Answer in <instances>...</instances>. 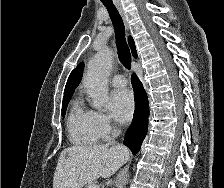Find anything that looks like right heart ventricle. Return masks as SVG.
Segmentation results:
<instances>
[{
	"label": "right heart ventricle",
	"instance_id": "e07e8e85",
	"mask_svg": "<svg viewBox=\"0 0 224 188\" xmlns=\"http://www.w3.org/2000/svg\"><path fill=\"white\" fill-rule=\"evenodd\" d=\"M69 137L74 144L92 145L99 137L91 126L89 113L76 102L68 117Z\"/></svg>",
	"mask_w": 224,
	"mask_h": 188
}]
</instances>
